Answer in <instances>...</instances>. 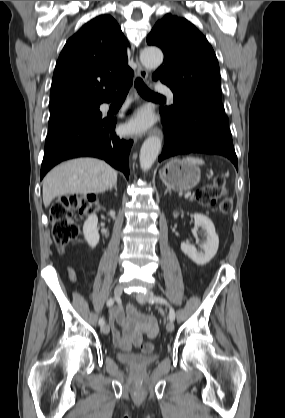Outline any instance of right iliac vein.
Returning a JSON list of instances; mask_svg holds the SVG:
<instances>
[{"label": "right iliac vein", "instance_id": "63e3f726", "mask_svg": "<svg viewBox=\"0 0 285 418\" xmlns=\"http://www.w3.org/2000/svg\"><path fill=\"white\" fill-rule=\"evenodd\" d=\"M122 292H123V287H122V285H120V284L116 285V286H115V288H114V294H115V296H116V297H120V296H121V294H122ZM109 331H110V328H109V325H108V324H104V325L101 327V332H102L103 334H108V333H109Z\"/></svg>", "mask_w": 285, "mask_h": 418}]
</instances>
